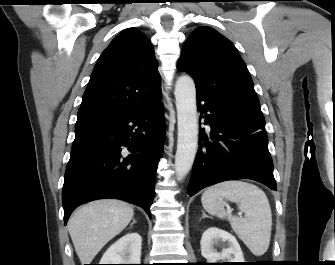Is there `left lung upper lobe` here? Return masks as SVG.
Returning <instances> with one entry per match:
<instances>
[{"label": "left lung upper lobe", "instance_id": "1", "mask_svg": "<svg viewBox=\"0 0 335 265\" xmlns=\"http://www.w3.org/2000/svg\"><path fill=\"white\" fill-rule=\"evenodd\" d=\"M178 69L190 74L197 93L265 122L249 71L232 42L198 27L188 38Z\"/></svg>", "mask_w": 335, "mask_h": 265}]
</instances>
